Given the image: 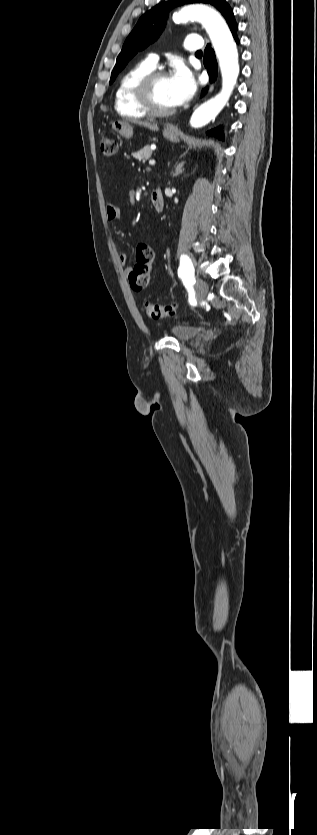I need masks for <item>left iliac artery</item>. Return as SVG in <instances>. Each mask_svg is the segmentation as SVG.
<instances>
[{"instance_id":"44dca946","label":"left iliac artery","mask_w":317,"mask_h":835,"mask_svg":"<svg viewBox=\"0 0 317 835\" xmlns=\"http://www.w3.org/2000/svg\"><path fill=\"white\" fill-rule=\"evenodd\" d=\"M178 276L187 288L195 284L194 268L190 258L187 255L183 254L180 257Z\"/></svg>"}]
</instances>
